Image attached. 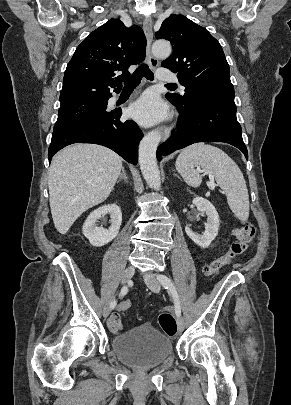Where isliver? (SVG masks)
Segmentation results:
<instances>
[{
    "label": "liver",
    "mask_w": 291,
    "mask_h": 405,
    "mask_svg": "<svg viewBox=\"0 0 291 405\" xmlns=\"http://www.w3.org/2000/svg\"><path fill=\"white\" fill-rule=\"evenodd\" d=\"M122 158L96 144H75L58 152L48 175L54 226L66 234L78 217L108 198L120 175Z\"/></svg>",
    "instance_id": "obj_1"
}]
</instances>
